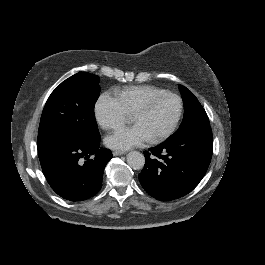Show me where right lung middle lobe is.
<instances>
[{"label":"right lung middle lobe","mask_w":265,"mask_h":265,"mask_svg":"<svg viewBox=\"0 0 265 265\" xmlns=\"http://www.w3.org/2000/svg\"><path fill=\"white\" fill-rule=\"evenodd\" d=\"M99 77L79 72L63 81L50 95L42 112L37 144L52 140L99 141L94 106Z\"/></svg>","instance_id":"right-lung-middle-lobe-1"}]
</instances>
